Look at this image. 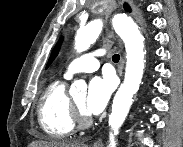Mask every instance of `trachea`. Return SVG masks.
<instances>
[{"label": "trachea", "mask_w": 183, "mask_h": 147, "mask_svg": "<svg viewBox=\"0 0 183 147\" xmlns=\"http://www.w3.org/2000/svg\"><path fill=\"white\" fill-rule=\"evenodd\" d=\"M119 59H120V56H119V54H114L113 56H112V60H113V62H119Z\"/></svg>", "instance_id": "3493384b"}]
</instances>
